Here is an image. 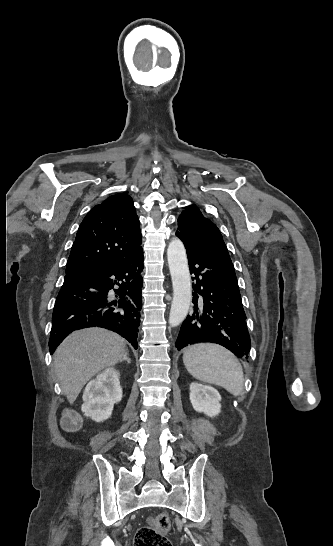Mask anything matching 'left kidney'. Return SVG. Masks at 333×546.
Masks as SVG:
<instances>
[{
  "mask_svg": "<svg viewBox=\"0 0 333 546\" xmlns=\"http://www.w3.org/2000/svg\"><path fill=\"white\" fill-rule=\"evenodd\" d=\"M220 400L221 396L215 388L198 383L190 385V401L195 411L214 417L221 411Z\"/></svg>",
  "mask_w": 333,
  "mask_h": 546,
  "instance_id": "5707ae66",
  "label": "left kidney"
}]
</instances>
